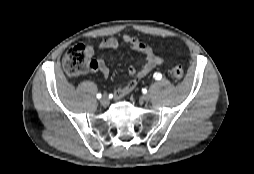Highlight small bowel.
<instances>
[{"label": "small bowel", "instance_id": "obj_1", "mask_svg": "<svg viewBox=\"0 0 254 174\" xmlns=\"http://www.w3.org/2000/svg\"><path fill=\"white\" fill-rule=\"evenodd\" d=\"M122 42L129 45L134 50L140 52L144 56V62L140 68H136L133 65L129 66L130 79L125 85L119 86L114 89V96L119 99L130 92H132L139 82L157 65L162 63V59L157 56L152 48L138 39L137 37L123 35ZM119 45V41L115 38H109L102 41L98 46L89 45L87 47V53L89 57L95 55L96 50L116 49ZM90 71L101 74L104 78L109 76V69L103 59H92L90 64Z\"/></svg>", "mask_w": 254, "mask_h": 174}]
</instances>
